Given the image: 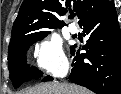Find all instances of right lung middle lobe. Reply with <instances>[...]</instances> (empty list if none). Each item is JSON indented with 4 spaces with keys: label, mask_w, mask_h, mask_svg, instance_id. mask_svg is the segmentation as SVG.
I'll return each mask as SVG.
<instances>
[{
    "label": "right lung middle lobe",
    "mask_w": 121,
    "mask_h": 94,
    "mask_svg": "<svg viewBox=\"0 0 121 94\" xmlns=\"http://www.w3.org/2000/svg\"><path fill=\"white\" fill-rule=\"evenodd\" d=\"M50 31H29L15 42L9 44L8 67L13 86L18 88L25 81L40 78L43 73L26 64L25 53L38 40L46 37Z\"/></svg>",
    "instance_id": "right-lung-middle-lobe-1"
}]
</instances>
